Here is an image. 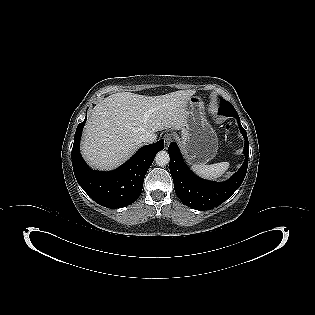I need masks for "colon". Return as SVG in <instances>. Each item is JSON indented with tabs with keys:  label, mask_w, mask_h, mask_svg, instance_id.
<instances>
[{
	"label": "colon",
	"mask_w": 315,
	"mask_h": 315,
	"mask_svg": "<svg viewBox=\"0 0 315 315\" xmlns=\"http://www.w3.org/2000/svg\"><path fill=\"white\" fill-rule=\"evenodd\" d=\"M225 129H226L227 131H229V130H230V125L227 124V125L225 126Z\"/></svg>",
	"instance_id": "colon-1"
}]
</instances>
